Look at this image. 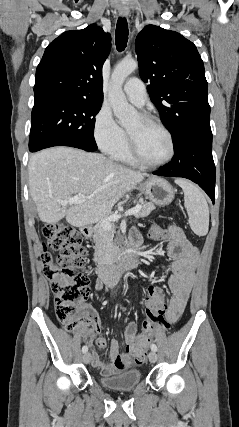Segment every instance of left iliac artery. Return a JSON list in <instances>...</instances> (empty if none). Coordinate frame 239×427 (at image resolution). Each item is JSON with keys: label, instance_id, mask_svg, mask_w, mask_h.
I'll return each mask as SVG.
<instances>
[{"label": "left iliac artery", "instance_id": "44dca946", "mask_svg": "<svg viewBox=\"0 0 239 427\" xmlns=\"http://www.w3.org/2000/svg\"><path fill=\"white\" fill-rule=\"evenodd\" d=\"M151 350L152 351H157V346L155 344H151Z\"/></svg>", "mask_w": 239, "mask_h": 427}]
</instances>
